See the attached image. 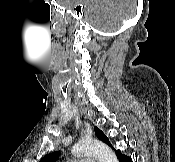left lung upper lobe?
<instances>
[{"label": "left lung upper lobe", "mask_w": 175, "mask_h": 162, "mask_svg": "<svg viewBox=\"0 0 175 162\" xmlns=\"http://www.w3.org/2000/svg\"><path fill=\"white\" fill-rule=\"evenodd\" d=\"M95 130V135L98 137V139L102 140L103 142L107 143L108 145L111 146L109 139L105 136V134L98 129L97 127L94 128ZM60 152L59 151H55L52 153H49L47 155H45L40 162H55L59 156Z\"/></svg>", "instance_id": "1"}]
</instances>
